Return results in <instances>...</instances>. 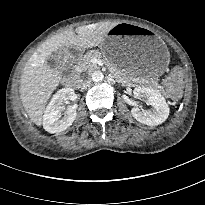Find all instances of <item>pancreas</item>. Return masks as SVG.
I'll use <instances>...</instances> for the list:
<instances>
[{"label":"pancreas","instance_id":"obj_1","mask_svg":"<svg viewBox=\"0 0 205 205\" xmlns=\"http://www.w3.org/2000/svg\"><path fill=\"white\" fill-rule=\"evenodd\" d=\"M94 58L101 59L104 64L108 67L110 73L112 74V77L115 78L117 82L122 83L123 85H128V86H135V82H139L130 75L124 73L122 70L117 68V66L111 62L105 55H103L101 52L98 50H91L89 51L86 55H84L80 61L79 65L84 69L88 71H95L99 69V66L96 64L92 63V60ZM141 83V82H139ZM143 84V83H142ZM155 87H158L157 84H155Z\"/></svg>","mask_w":205,"mask_h":205}]
</instances>
